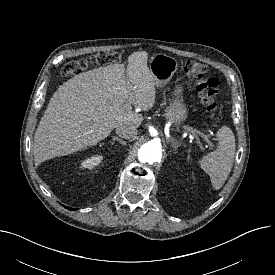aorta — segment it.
<instances>
[{"label":"aorta","mask_w":275,"mask_h":275,"mask_svg":"<svg viewBox=\"0 0 275 275\" xmlns=\"http://www.w3.org/2000/svg\"><path fill=\"white\" fill-rule=\"evenodd\" d=\"M161 156V146L154 141L143 144L138 150V160L142 163L154 164L161 160Z\"/></svg>","instance_id":"1"}]
</instances>
